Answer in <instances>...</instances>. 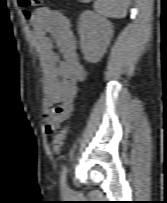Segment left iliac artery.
Masks as SVG:
<instances>
[{
	"instance_id": "left-iliac-artery-1",
	"label": "left iliac artery",
	"mask_w": 167,
	"mask_h": 203,
	"mask_svg": "<svg viewBox=\"0 0 167 203\" xmlns=\"http://www.w3.org/2000/svg\"><path fill=\"white\" fill-rule=\"evenodd\" d=\"M66 174H67V166H64L61 173V187L65 190L66 187Z\"/></svg>"
}]
</instances>
